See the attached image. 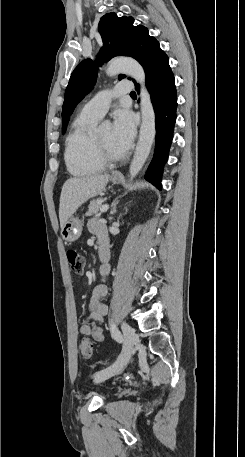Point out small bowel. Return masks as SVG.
<instances>
[{
	"mask_svg": "<svg viewBox=\"0 0 245 457\" xmlns=\"http://www.w3.org/2000/svg\"><path fill=\"white\" fill-rule=\"evenodd\" d=\"M89 230L96 237L99 248L104 247L108 249V235L104 224L93 219L89 222ZM109 272L110 267L108 265L100 268V275L103 280ZM106 295L107 287L104 283L95 286L88 304L89 314L81 321L79 326V331L82 335L90 336L98 342L104 340V331L100 327V324L108 312V307L104 303Z\"/></svg>",
	"mask_w": 245,
	"mask_h": 457,
	"instance_id": "small-bowel-1",
	"label": "small bowel"
}]
</instances>
